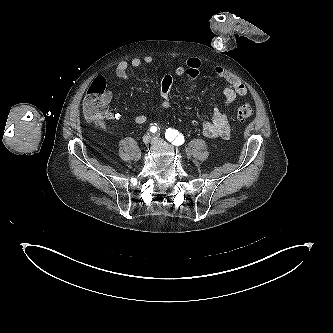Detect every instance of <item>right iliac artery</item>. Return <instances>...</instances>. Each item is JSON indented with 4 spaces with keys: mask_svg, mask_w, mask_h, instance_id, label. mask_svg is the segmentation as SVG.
Returning a JSON list of instances; mask_svg holds the SVG:
<instances>
[{
    "mask_svg": "<svg viewBox=\"0 0 333 333\" xmlns=\"http://www.w3.org/2000/svg\"><path fill=\"white\" fill-rule=\"evenodd\" d=\"M150 132H152V133H156L157 132V127L156 126H151L150 127Z\"/></svg>",
    "mask_w": 333,
    "mask_h": 333,
    "instance_id": "1",
    "label": "right iliac artery"
}]
</instances>
